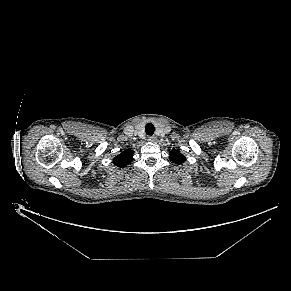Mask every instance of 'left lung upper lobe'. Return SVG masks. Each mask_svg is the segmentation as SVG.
I'll use <instances>...</instances> for the list:
<instances>
[{
  "mask_svg": "<svg viewBox=\"0 0 291 291\" xmlns=\"http://www.w3.org/2000/svg\"><path fill=\"white\" fill-rule=\"evenodd\" d=\"M169 158L178 165L182 164L185 161V156L181 154L179 150L175 149L171 150Z\"/></svg>",
  "mask_w": 291,
  "mask_h": 291,
  "instance_id": "obj_1",
  "label": "left lung upper lobe"
}]
</instances>
